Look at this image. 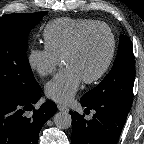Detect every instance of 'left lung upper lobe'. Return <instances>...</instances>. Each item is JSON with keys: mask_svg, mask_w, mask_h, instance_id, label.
Instances as JSON below:
<instances>
[{"mask_svg": "<svg viewBox=\"0 0 144 144\" xmlns=\"http://www.w3.org/2000/svg\"><path fill=\"white\" fill-rule=\"evenodd\" d=\"M135 77V64L131 40L120 35L119 47L114 65L103 81L81 98L94 102L112 98L132 104V91Z\"/></svg>", "mask_w": 144, "mask_h": 144, "instance_id": "left-lung-upper-lobe-1", "label": "left lung upper lobe"}]
</instances>
